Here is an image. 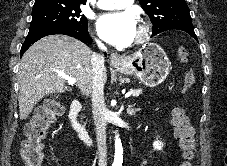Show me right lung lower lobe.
Instances as JSON below:
<instances>
[{
	"label": "right lung lower lobe",
	"instance_id": "obj_1",
	"mask_svg": "<svg viewBox=\"0 0 227 166\" xmlns=\"http://www.w3.org/2000/svg\"><path fill=\"white\" fill-rule=\"evenodd\" d=\"M54 34H64V35L72 36L84 43H91V38L87 30H77V29H71V28H48L34 34H29L26 37V40L24 41L21 47V51H20L21 56L31 46V44L35 43L36 41H38L39 39L45 36L54 35Z\"/></svg>",
	"mask_w": 227,
	"mask_h": 166
}]
</instances>
